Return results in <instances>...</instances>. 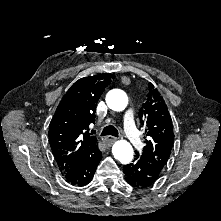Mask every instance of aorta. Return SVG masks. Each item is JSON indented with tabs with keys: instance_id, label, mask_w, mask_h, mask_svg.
Masks as SVG:
<instances>
[{
	"instance_id": "obj_1",
	"label": "aorta",
	"mask_w": 221,
	"mask_h": 221,
	"mask_svg": "<svg viewBox=\"0 0 221 221\" xmlns=\"http://www.w3.org/2000/svg\"><path fill=\"white\" fill-rule=\"evenodd\" d=\"M107 106L114 111H123L128 104L126 93L120 89H113L106 95ZM112 153L115 159L122 164H128L133 159V148L131 144L125 140H118L112 147Z\"/></svg>"
}]
</instances>
